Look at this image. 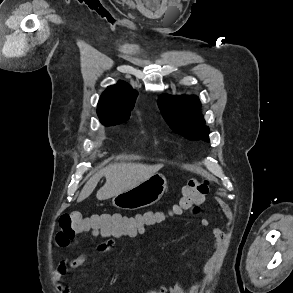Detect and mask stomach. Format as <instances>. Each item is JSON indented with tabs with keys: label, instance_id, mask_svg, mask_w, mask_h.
Wrapping results in <instances>:
<instances>
[{
	"label": "stomach",
	"instance_id": "stomach-1",
	"mask_svg": "<svg viewBox=\"0 0 293 293\" xmlns=\"http://www.w3.org/2000/svg\"><path fill=\"white\" fill-rule=\"evenodd\" d=\"M167 188L164 175L156 173L139 185L113 197L112 203L116 208L137 210L158 202Z\"/></svg>",
	"mask_w": 293,
	"mask_h": 293
}]
</instances>
